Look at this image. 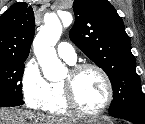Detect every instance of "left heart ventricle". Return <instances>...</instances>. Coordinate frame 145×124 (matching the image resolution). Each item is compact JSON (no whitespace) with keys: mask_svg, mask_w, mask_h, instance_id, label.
<instances>
[{"mask_svg":"<svg viewBox=\"0 0 145 124\" xmlns=\"http://www.w3.org/2000/svg\"><path fill=\"white\" fill-rule=\"evenodd\" d=\"M69 78V72L64 80ZM76 98L87 111L97 110L106 100V86L95 70L88 69L77 75L73 81Z\"/></svg>","mask_w":145,"mask_h":124,"instance_id":"left-heart-ventricle-1","label":"left heart ventricle"}]
</instances>
